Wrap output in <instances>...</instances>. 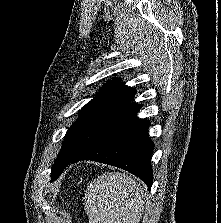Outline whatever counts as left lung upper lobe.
<instances>
[{"label":"left lung upper lobe","mask_w":221,"mask_h":223,"mask_svg":"<svg viewBox=\"0 0 221 223\" xmlns=\"http://www.w3.org/2000/svg\"><path fill=\"white\" fill-rule=\"evenodd\" d=\"M135 93V89L124 85L120 79L106 82L100 93L81 109L77 121L68 129L51 169V181L56 180L70 162L109 126L137 105L131 103Z\"/></svg>","instance_id":"1"}]
</instances>
